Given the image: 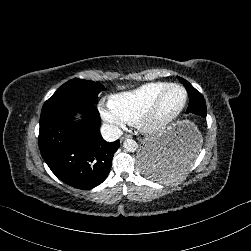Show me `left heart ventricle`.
<instances>
[{
	"label": "left heart ventricle",
	"instance_id": "obj_1",
	"mask_svg": "<svg viewBox=\"0 0 251 251\" xmlns=\"http://www.w3.org/2000/svg\"><path fill=\"white\" fill-rule=\"evenodd\" d=\"M184 101L185 93L182 90L169 89L156 113V118L159 121H168L174 118L182 108Z\"/></svg>",
	"mask_w": 251,
	"mask_h": 251
}]
</instances>
